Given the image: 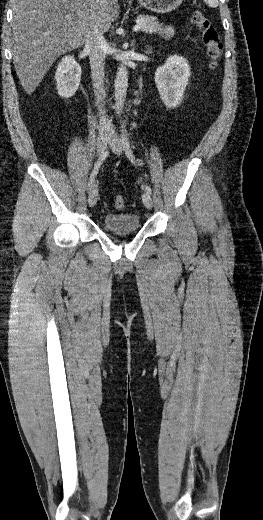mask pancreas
Returning <instances> with one entry per match:
<instances>
[{"instance_id": "cf45deb5", "label": "pancreas", "mask_w": 263, "mask_h": 520, "mask_svg": "<svg viewBox=\"0 0 263 520\" xmlns=\"http://www.w3.org/2000/svg\"><path fill=\"white\" fill-rule=\"evenodd\" d=\"M137 20L141 22V31L152 33L162 29V24L154 16L140 14L137 16Z\"/></svg>"}]
</instances>
